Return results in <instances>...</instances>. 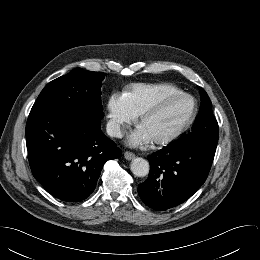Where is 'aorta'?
Wrapping results in <instances>:
<instances>
[{
	"label": "aorta",
	"instance_id": "1",
	"mask_svg": "<svg viewBox=\"0 0 260 260\" xmlns=\"http://www.w3.org/2000/svg\"><path fill=\"white\" fill-rule=\"evenodd\" d=\"M149 163L143 158H134L130 164V170L135 176L144 177L149 173Z\"/></svg>",
	"mask_w": 260,
	"mask_h": 260
}]
</instances>
